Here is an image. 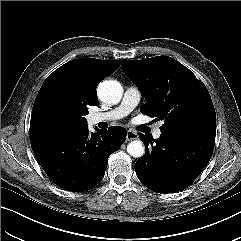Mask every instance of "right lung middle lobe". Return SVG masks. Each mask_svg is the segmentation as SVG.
<instances>
[{"label": "right lung middle lobe", "mask_w": 241, "mask_h": 241, "mask_svg": "<svg viewBox=\"0 0 241 241\" xmlns=\"http://www.w3.org/2000/svg\"><path fill=\"white\" fill-rule=\"evenodd\" d=\"M81 115L67 100L56 98L41 108L38 126L46 134L64 133L77 125Z\"/></svg>", "instance_id": "dd1d6c3e"}]
</instances>
